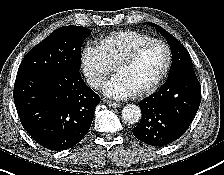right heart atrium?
Masks as SVG:
<instances>
[{"mask_svg":"<svg viewBox=\"0 0 224 175\" xmlns=\"http://www.w3.org/2000/svg\"><path fill=\"white\" fill-rule=\"evenodd\" d=\"M81 62L87 81L93 88H99L114 69L102 50L92 45L83 49Z\"/></svg>","mask_w":224,"mask_h":175,"instance_id":"1","label":"right heart atrium"}]
</instances>
